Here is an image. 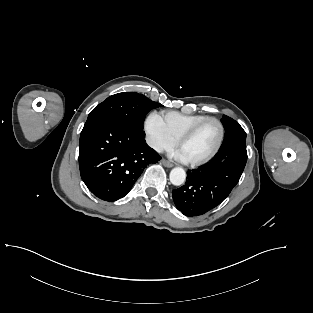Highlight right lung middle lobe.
Masks as SVG:
<instances>
[{"label": "right lung middle lobe", "instance_id": "dd1d6c3e", "mask_svg": "<svg viewBox=\"0 0 313 313\" xmlns=\"http://www.w3.org/2000/svg\"><path fill=\"white\" fill-rule=\"evenodd\" d=\"M160 106V103L153 102L142 94L135 92L118 93L96 106L90 112L86 123L106 117L121 121L129 127L143 132L146 114L151 109Z\"/></svg>", "mask_w": 313, "mask_h": 313}]
</instances>
